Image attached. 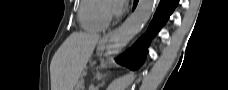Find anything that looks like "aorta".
Here are the masks:
<instances>
[{"instance_id": "762f6f07", "label": "aorta", "mask_w": 228, "mask_h": 90, "mask_svg": "<svg viewBox=\"0 0 228 90\" xmlns=\"http://www.w3.org/2000/svg\"><path fill=\"white\" fill-rule=\"evenodd\" d=\"M155 4L156 0H139L133 14L110 35L105 51L107 59L114 58L142 29L154 12Z\"/></svg>"}]
</instances>
